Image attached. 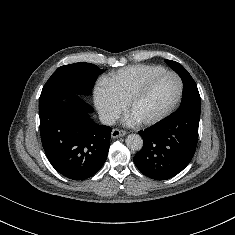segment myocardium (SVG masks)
I'll use <instances>...</instances> for the list:
<instances>
[{"label":"myocardium","mask_w":235,"mask_h":235,"mask_svg":"<svg viewBox=\"0 0 235 235\" xmlns=\"http://www.w3.org/2000/svg\"><path fill=\"white\" fill-rule=\"evenodd\" d=\"M163 76H172L178 82L179 89H178V93H177V96H176L174 102L170 105V107L167 110H165L163 113H161L160 115H158L154 118H151L148 120H140V121L133 120L136 125L141 126V127H149V126L156 125V124L162 122L163 120H165L166 118H168L179 106V104L182 100L183 92H184L183 81H182L181 77L178 74H176L175 72L165 70V71H162V72H159V73H156V74L150 76L141 85V87L130 97V99L127 101L126 106H125L126 114L129 117H131V111H132L133 107L145 96V94L149 90L152 83L155 80H157L158 78L163 77Z\"/></svg>","instance_id":"myocardium-1"}]
</instances>
